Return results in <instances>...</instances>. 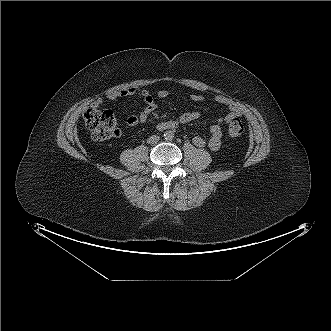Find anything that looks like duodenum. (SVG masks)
<instances>
[{"instance_id":"duodenum-1","label":"duodenum","mask_w":331,"mask_h":331,"mask_svg":"<svg viewBox=\"0 0 331 331\" xmlns=\"http://www.w3.org/2000/svg\"><path fill=\"white\" fill-rule=\"evenodd\" d=\"M178 127L177 123L175 122H168L165 124L164 129L165 130H173L176 129Z\"/></svg>"}]
</instances>
